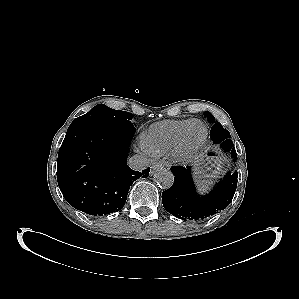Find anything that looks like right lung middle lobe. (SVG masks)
<instances>
[{"label": "right lung middle lobe", "mask_w": 299, "mask_h": 299, "mask_svg": "<svg viewBox=\"0 0 299 299\" xmlns=\"http://www.w3.org/2000/svg\"><path fill=\"white\" fill-rule=\"evenodd\" d=\"M132 114L125 111L114 110L104 104L93 107L88 113L76 118L67 131L74 129H91L100 127H128Z\"/></svg>", "instance_id": "obj_1"}]
</instances>
